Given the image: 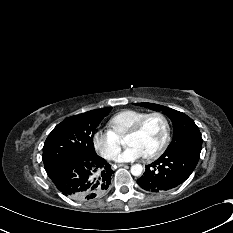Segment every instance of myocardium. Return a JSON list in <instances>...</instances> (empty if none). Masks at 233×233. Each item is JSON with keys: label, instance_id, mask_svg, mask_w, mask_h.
Returning a JSON list of instances; mask_svg holds the SVG:
<instances>
[{"label": "myocardium", "instance_id": "f54148a6", "mask_svg": "<svg viewBox=\"0 0 233 233\" xmlns=\"http://www.w3.org/2000/svg\"><path fill=\"white\" fill-rule=\"evenodd\" d=\"M154 116L159 117L163 121L165 134H164L163 140L158 145V147L146 155L147 158H154L157 155H159L166 148V146L168 145V143L170 141L171 128H170V122H169L167 116L164 113L159 112V111L147 113L142 118H140L133 126H131L125 133V136L137 134L142 129L145 122L149 118L154 117Z\"/></svg>", "mask_w": 233, "mask_h": 233}]
</instances>
